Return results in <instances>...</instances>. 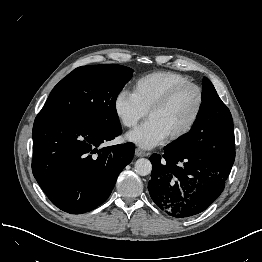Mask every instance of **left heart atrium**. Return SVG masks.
Returning <instances> with one entry per match:
<instances>
[{
    "label": "left heart atrium",
    "instance_id": "obj_1",
    "mask_svg": "<svg viewBox=\"0 0 262 262\" xmlns=\"http://www.w3.org/2000/svg\"><path fill=\"white\" fill-rule=\"evenodd\" d=\"M167 134L153 119H148L142 125L127 133L126 138L141 146L149 149L163 143Z\"/></svg>",
    "mask_w": 262,
    "mask_h": 262
}]
</instances>
